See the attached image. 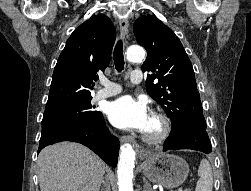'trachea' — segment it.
<instances>
[{
  "label": "trachea",
  "instance_id": "trachea-1",
  "mask_svg": "<svg viewBox=\"0 0 251 191\" xmlns=\"http://www.w3.org/2000/svg\"><path fill=\"white\" fill-rule=\"evenodd\" d=\"M113 60L117 71L124 69V55H123V43L119 40L115 46L113 53Z\"/></svg>",
  "mask_w": 251,
  "mask_h": 191
}]
</instances>
